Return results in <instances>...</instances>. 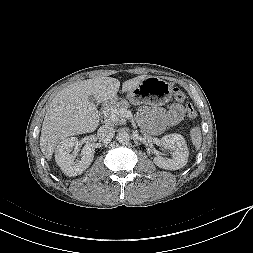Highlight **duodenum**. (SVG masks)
Masks as SVG:
<instances>
[{
  "mask_svg": "<svg viewBox=\"0 0 253 253\" xmlns=\"http://www.w3.org/2000/svg\"><path fill=\"white\" fill-rule=\"evenodd\" d=\"M109 104H110V102H109V101H108V102H105V103H104V105H103V108H104V109H107V108H108V106H109Z\"/></svg>",
  "mask_w": 253,
  "mask_h": 253,
  "instance_id": "410a0bca",
  "label": "duodenum"
}]
</instances>
